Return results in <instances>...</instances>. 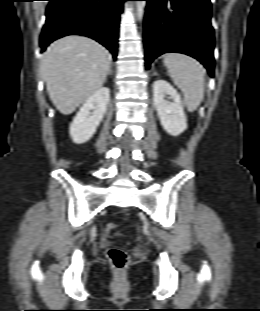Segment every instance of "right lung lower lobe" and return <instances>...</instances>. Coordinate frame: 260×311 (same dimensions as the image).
Here are the masks:
<instances>
[{
  "label": "right lung lower lobe",
  "mask_w": 260,
  "mask_h": 311,
  "mask_svg": "<svg viewBox=\"0 0 260 311\" xmlns=\"http://www.w3.org/2000/svg\"><path fill=\"white\" fill-rule=\"evenodd\" d=\"M46 23L40 45L44 51L54 40L67 35L90 37L117 56L120 14L126 0H48Z\"/></svg>",
  "instance_id": "1"
}]
</instances>
